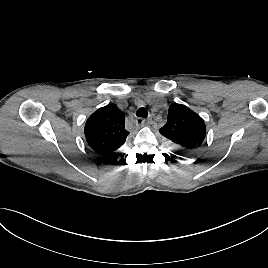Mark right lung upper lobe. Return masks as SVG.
<instances>
[{"label": "right lung upper lobe", "instance_id": "right-lung-upper-lobe-1", "mask_svg": "<svg viewBox=\"0 0 268 268\" xmlns=\"http://www.w3.org/2000/svg\"><path fill=\"white\" fill-rule=\"evenodd\" d=\"M84 133L89 146L106 156L116 154L129 134L123 112L113 103L99 108L88 118Z\"/></svg>", "mask_w": 268, "mask_h": 268}]
</instances>
